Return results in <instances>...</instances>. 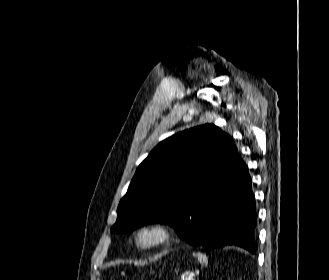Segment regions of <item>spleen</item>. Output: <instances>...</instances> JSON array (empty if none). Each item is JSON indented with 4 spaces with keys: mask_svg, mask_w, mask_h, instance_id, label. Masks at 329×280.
Masks as SVG:
<instances>
[{
    "mask_svg": "<svg viewBox=\"0 0 329 280\" xmlns=\"http://www.w3.org/2000/svg\"><path fill=\"white\" fill-rule=\"evenodd\" d=\"M193 256L194 257H197L199 263L202 265V266H207L208 265V257L203 254V253H193Z\"/></svg>",
    "mask_w": 329,
    "mask_h": 280,
    "instance_id": "spleen-1",
    "label": "spleen"
}]
</instances>
